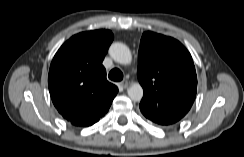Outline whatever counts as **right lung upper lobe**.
I'll list each match as a JSON object with an SVG mask.
<instances>
[{"mask_svg":"<svg viewBox=\"0 0 244 157\" xmlns=\"http://www.w3.org/2000/svg\"><path fill=\"white\" fill-rule=\"evenodd\" d=\"M109 30L72 36L55 54L48 87L58 112L75 126H91L109 110L118 88L107 81L102 65L113 41Z\"/></svg>","mask_w":244,"mask_h":157,"instance_id":"obj_1","label":"right lung upper lobe"}]
</instances>
